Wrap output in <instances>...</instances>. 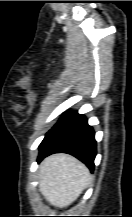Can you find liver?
<instances>
[{
    "label": "liver",
    "instance_id": "1",
    "mask_svg": "<svg viewBox=\"0 0 132 217\" xmlns=\"http://www.w3.org/2000/svg\"><path fill=\"white\" fill-rule=\"evenodd\" d=\"M89 169L68 154H53L40 164L39 190L52 206L71 205L90 183Z\"/></svg>",
    "mask_w": 132,
    "mask_h": 217
}]
</instances>
